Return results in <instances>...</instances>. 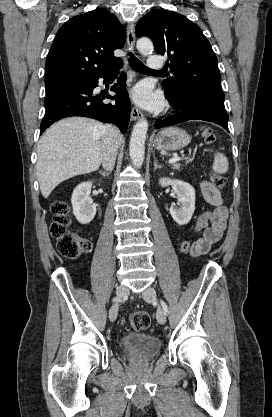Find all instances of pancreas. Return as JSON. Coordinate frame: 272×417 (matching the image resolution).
Returning <instances> with one entry per match:
<instances>
[{
    "label": "pancreas",
    "mask_w": 272,
    "mask_h": 417,
    "mask_svg": "<svg viewBox=\"0 0 272 417\" xmlns=\"http://www.w3.org/2000/svg\"><path fill=\"white\" fill-rule=\"evenodd\" d=\"M180 167H181V164H179V163H174V164L172 165V169H175V170L180 169Z\"/></svg>",
    "instance_id": "1"
}]
</instances>
